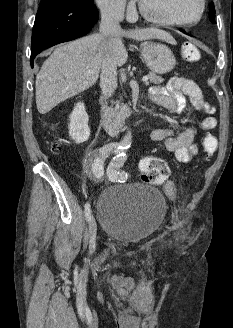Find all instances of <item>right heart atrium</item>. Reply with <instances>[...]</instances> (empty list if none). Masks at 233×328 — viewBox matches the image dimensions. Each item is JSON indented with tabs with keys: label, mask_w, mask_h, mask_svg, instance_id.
Returning a JSON list of instances; mask_svg holds the SVG:
<instances>
[{
	"label": "right heart atrium",
	"mask_w": 233,
	"mask_h": 328,
	"mask_svg": "<svg viewBox=\"0 0 233 328\" xmlns=\"http://www.w3.org/2000/svg\"><path fill=\"white\" fill-rule=\"evenodd\" d=\"M100 12L107 18L119 20L132 9L127 0H95Z\"/></svg>",
	"instance_id": "right-heart-atrium-1"
}]
</instances>
